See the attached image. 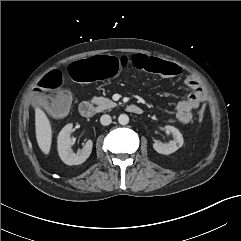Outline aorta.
Here are the masks:
<instances>
[{
    "mask_svg": "<svg viewBox=\"0 0 241 241\" xmlns=\"http://www.w3.org/2000/svg\"><path fill=\"white\" fill-rule=\"evenodd\" d=\"M118 122L121 124V125H126L129 123V117L126 115V114H121L119 117H118Z\"/></svg>",
    "mask_w": 241,
    "mask_h": 241,
    "instance_id": "1",
    "label": "aorta"
}]
</instances>
